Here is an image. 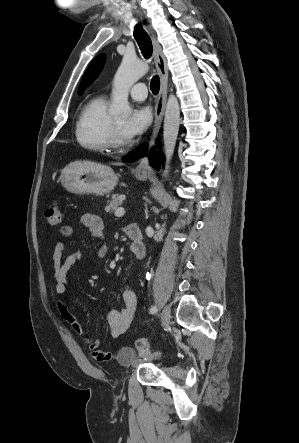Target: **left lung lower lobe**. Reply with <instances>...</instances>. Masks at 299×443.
Returning a JSON list of instances; mask_svg holds the SVG:
<instances>
[{
  "label": "left lung lower lobe",
  "instance_id": "0a47b994",
  "mask_svg": "<svg viewBox=\"0 0 299 443\" xmlns=\"http://www.w3.org/2000/svg\"><path fill=\"white\" fill-rule=\"evenodd\" d=\"M146 148H147V145L145 143L141 144L135 150L130 152L128 155L124 156L122 158V160L124 162H135L139 158L145 156ZM149 160H150V165L153 166L156 170H159L160 163L164 161V156L161 151H159V153H158V152H156L155 149H152L151 153L149 154Z\"/></svg>",
  "mask_w": 299,
  "mask_h": 443
}]
</instances>
